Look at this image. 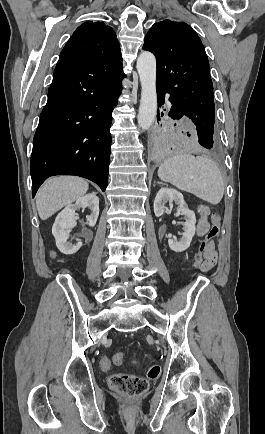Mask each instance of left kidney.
<instances>
[{"label":"left kidney","mask_w":265,"mask_h":434,"mask_svg":"<svg viewBox=\"0 0 265 434\" xmlns=\"http://www.w3.org/2000/svg\"><path fill=\"white\" fill-rule=\"evenodd\" d=\"M177 204V212H181L182 216H185L186 222H184L183 226V234L182 238H180L179 242L177 240H168L169 248L173 250V252H184L189 248L193 236H195V224L196 218L194 212L187 208V204L184 202V198L180 192L177 190H173V188H161L159 190L155 200H154V214L159 218V216H163L166 208H164V204ZM166 212H170V210H166Z\"/></svg>","instance_id":"obj_1"}]
</instances>
